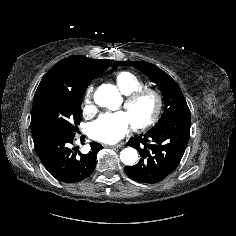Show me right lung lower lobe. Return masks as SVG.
Masks as SVG:
<instances>
[{
  "label": "right lung lower lobe",
  "mask_w": 236,
  "mask_h": 236,
  "mask_svg": "<svg viewBox=\"0 0 236 236\" xmlns=\"http://www.w3.org/2000/svg\"><path fill=\"white\" fill-rule=\"evenodd\" d=\"M35 151L46 170L57 180L65 183L80 182L89 177L96 165L99 143H90L88 154L72 148L74 136L48 129H31Z\"/></svg>",
  "instance_id": "1"
}]
</instances>
